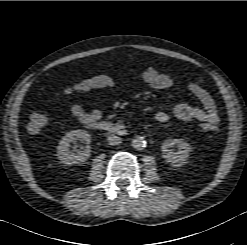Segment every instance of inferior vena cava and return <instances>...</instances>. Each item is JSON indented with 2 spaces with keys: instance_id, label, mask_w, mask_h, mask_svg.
Masks as SVG:
<instances>
[{
  "instance_id": "602c4592",
  "label": "inferior vena cava",
  "mask_w": 247,
  "mask_h": 245,
  "mask_svg": "<svg viewBox=\"0 0 247 245\" xmlns=\"http://www.w3.org/2000/svg\"><path fill=\"white\" fill-rule=\"evenodd\" d=\"M107 141L110 145H119L121 143V138L116 135H110L108 136Z\"/></svg>"
}]
</instances>
